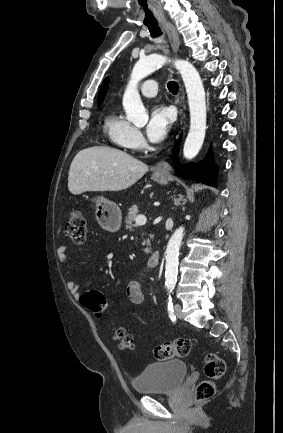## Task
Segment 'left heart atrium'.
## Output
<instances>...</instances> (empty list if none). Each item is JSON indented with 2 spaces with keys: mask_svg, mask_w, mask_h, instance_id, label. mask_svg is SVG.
I'll return each instance as SVG.
<instances>
[{
  "mask_svg": "<svg viewBox=\"0 0 283 433\" xmlns=\"http://www.w3.org/2000/svg\"><path fill=\"white\" fill-rule=\"evenodd\" d=\"M170 110L162 105H154L151 109L150 119L146 128L148 140L153 144L162 142L167 136L171 126Z\"/></svg>",
  "mask_w": 283,
  "mask_h": 433,
  "instance_id": "left-heart-atrium-1",
  "label": "left heart atrium"
}]
</instances>
